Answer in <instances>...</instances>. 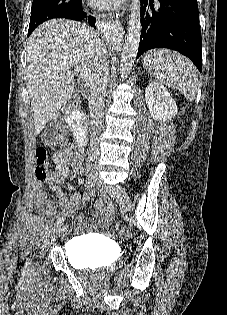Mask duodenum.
Here are the masks:
<instances>
[{"label": "duodenum", "instance_id": "410a0bca", "mask_svg": "<svg viewBox=\"0 0 227 315\" xmlns=\"http://www.w3.org/2000/svg\"><path fill=\"white\" fill-rule=\"evenodd\" d=\"M68 121L77 143L85 146L88 143V121L85 113L79 108H73L69 114Z\"/></svg>", "mask_w": 227, "mask_h": 315}]
</instances>
